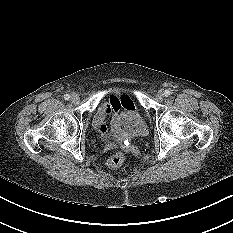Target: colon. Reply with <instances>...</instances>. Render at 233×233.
<instances>
[{"label": "colon", "instance_id": "obj_1", "mask_svg": "<svg viewBox=\"0 0 233 233\" xmlns=\"http://www.w3.org/2000/svg\"><path fill=\"white\" fill-rule=\"evenodd\" d=\"M124 162V155L121 152H117L114 155H112L108 161H107V165L112 168H118L120 167Z\"/></svg>", "mask_w": 233, "mask_h": 233}]
</instances>
